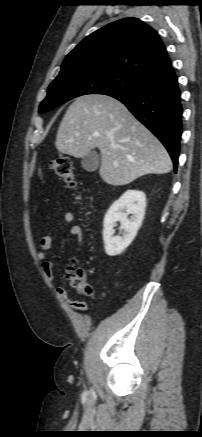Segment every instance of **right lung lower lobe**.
Listing matches in <instances>:
<instances>
[{"label":"right lung lower lobe","instance_id":"obj_1","mask_svg":"<svg viewBox=\"0 0 202 437\" xmlns=\"http://www.w3.org/2000/svg\"><path fill=\"white\" fill-rule=\"evenodd\" d=\"M172 66L149 78L134 92L112 97L122 102L166 147L177 169L182 133V105Z\"/></svg>","mask_w":202,"mask_h":437}]
</instances>
